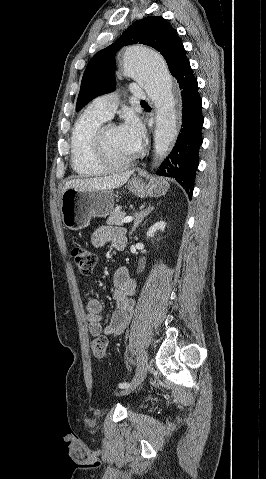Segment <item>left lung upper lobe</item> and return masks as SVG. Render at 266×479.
<instances>
[{"label": "left lung upper lobe", "instance_id": "obj_1", "mask_svg": "<svg viewBox=\"0 0 266 479\" xmlns=\"http://www.w3.org/2000/svg\"><path fill=\"white\" fill-rule=\"evenodd\" d=\"M141 43L155 48L165 58L170 73L175 77L188 61L177 31L161 16H149L132 24L110 46L97 52L82 77L76 111L97 96L114 91L115 55L123 46Z\"/></svg>", "mask_w": 266, "mask_h": 479}]
</instances>
